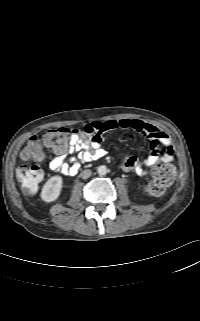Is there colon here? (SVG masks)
I'll use <instances>...</instances> for the list:
<instances>
[{
    "label": "colon",
    "mask_w": 200,
    "mask_h": 321,
    "mask_svg": "<svg viewBox=\"0 0 200 321\" xmlns=\"http://www.w3.org/2000/svg\"><path fill=\"white\" fill-rule=\"evenodd\" d=\"M72 133L67 128L53 129L44 135L43 141L53 149L64 150ZM21 155L25 160L39 161L43 156L41 140L36 136L30 138ZM171 161L172 155L169 153L155 168L151 180L145 186V191L149 195L161 196L172 185L176 176V169ZM16 176L23 191L27 194H34L43 178V171L38 164H24L18 167Z\"/></svg>",
    "instance_id": "obj_1"
}]
</instances>
